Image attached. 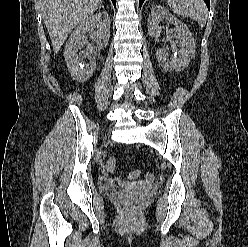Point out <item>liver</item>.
I'll list each match as a JSON object with an SVG mask.
<instances>
[{
  "label": "liver",
  "mask_w": 248,
  "mask_h": 247,
  "mask_svg": "<svg viewBox=\"0 0 248 247\" xmlns=\"http://www.w3.org/2000/svg\"><path fill=\"white\" fill-rule=\"evenodd\" d=\"M101 0H42V16L54 53H58L72 29L90 17Z\"/></svg>",
  "instance_id": "liver-1"
}]
</instances>
